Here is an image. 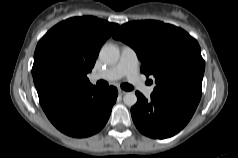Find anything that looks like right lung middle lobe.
Wrapping results in <instances>:
<instances>
[{"label":"right lung middle lobe","instance_id":"1","mask_svg":"<svg viewBox=\"0 0 238 158\" xmlns=\"http://www.w3.org/2000/svg\"><path fill=\"white\" fill-rule=\"evenodd\" d=\"M41 70L46 77L59 80L64 74V64L59 58L49 56L43 60Z\"/></svg>","mask_w":238,"mask_h":158}]
</instances>
